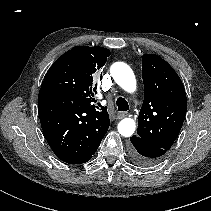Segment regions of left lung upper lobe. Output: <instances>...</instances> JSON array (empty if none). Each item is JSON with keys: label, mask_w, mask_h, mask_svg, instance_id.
<instances>
[{"label": "left lung upper lobe", "mask_w": 211, "mask_h": 211, "mask_svg": "<svg viewBox=\"0 0 211 211\" xmlns=\"http://www.w3.org/2000/svg\"><path fill=\"white\" fill-rule=\"evenodd\" d=\"M144 101L138 118L137 136L168 151L183 125L187 99L174 69L153 54L142 57Z\"/></svg>", "instance_id": "left-lung-upper-lobe-1"}]
</instances>
